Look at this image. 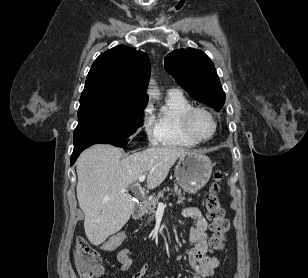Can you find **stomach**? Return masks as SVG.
Listing matches in <instances>:
<instances>
[{
	"label": "stomach",
	"instance_id": "1",
	"mask_svg": "<svg viewBox=\"0 0 308 278\" xmlns=\"http://www.w3.org/2000/svg\"><path fill=\"white\" fill-rule=\"evenodd\" d=\"M213 165L208 156L189 152L179 158L175 167L177 183L186 191L195 193L209 181Z\"/></svg>",
	"mask_w": 308,
	"mask_h": 278
}]
</instances>
